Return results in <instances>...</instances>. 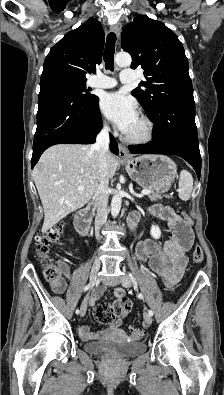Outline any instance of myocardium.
<instances>
[{"label": "myocardium", "instance_id": "obj_1", "mask_svg": "<svg viewBox=\"0 0 224 395\" xmlns=\"http://www.w3.org/2000/svg\"><path fill=\"white\" fill-rule=\"evenodd\" d=\"M138 118L142 124L141 132L135 135H129L127 133L124 135V140L134 145H142L150 142L155 133L154 124L146 115L141 114Z\"/></svg>", "mask_w": 224, "mask_h": 395}]
</instances>
